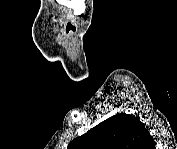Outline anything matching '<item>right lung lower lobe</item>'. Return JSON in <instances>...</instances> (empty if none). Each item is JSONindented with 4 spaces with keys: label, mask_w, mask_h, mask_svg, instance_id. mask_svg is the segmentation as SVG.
<instances>
[{
    "label": "right lung lower lobe",
    "mask_w": 177,
    "mask_h": 149,
    "mask_svg": "<svg viewBox=\"0 0 177 149\" xmlns=\"http://www.w3.org/2000/svg\"><path fill=\"white\" fill-rule=\"evenodd\" d=\"M145 140L148 142V144L152 143L151 147H154L155 143H154V140L151 137L150 133L145 137Z\"/></svg>",
    "instance_id": "right-lung-lower-lobe-1"
}]
</instances>
